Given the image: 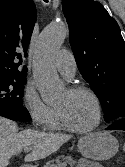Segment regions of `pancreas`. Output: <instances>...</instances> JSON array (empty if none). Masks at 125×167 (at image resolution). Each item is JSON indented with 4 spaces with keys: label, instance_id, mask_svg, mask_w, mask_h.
<instances>
[{
    "label": "pancreas",
    "instance_id": "cf45deb5",
    "mask_svg": "<svg viewBox=\"0 0 125 167\" xmlns=\"http://www.w3.org/2000/svg\"><path fill=\"white\" fill-rule=\"evenodd\" d=\"M60 160L66 162L70 167H73L76 164V161L73 160L71 156H59L55 160L47 162V164L44 165V167H54L55 166L54 163L60 164Z\"/></svg>",
    "mask_w": 125,
    "mask_h": 167
}]
</instances>
